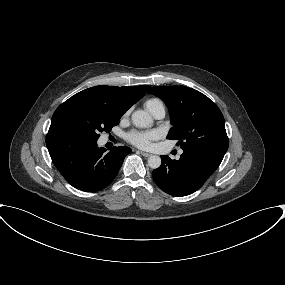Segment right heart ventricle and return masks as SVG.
<instances>
[{"label":"right heart ventricle","instance_id":"e07e8e85","mask_svg":"<svg viewBox=\"0 0 285 285\" xmlns=\"http://www.w3.org/2000/svg\"><path fill=\"white\" fill-rule=\"evenodd\" d=\"M159 104H162V102L157 98H151L145 102V106L148 110H150L155 105H159Z\"/></svg>","mask_w":285,"mask_h":285}]
</instances>
